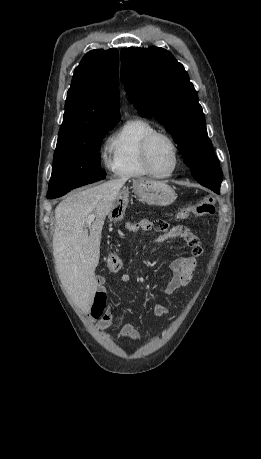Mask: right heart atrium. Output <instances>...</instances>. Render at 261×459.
<instances>
[{"label": "right heart atrium", "instance_id": "d8ad5b80", "mask_svg": "<svg viewBox=\"0 0 261 459\" xmlns=\"http://www.w3.org/2000/svg\"><path fill=\"white\" fill-rule=\"evenodd\" d=\"M103 160H104V164H105L106 168H108L109 170H113L114 169L112 159H110V158L105 156Z\"/></svg>", "mask_w": 261, "mask_h": 459}]
</instances>
